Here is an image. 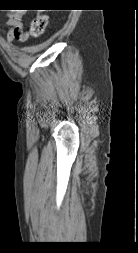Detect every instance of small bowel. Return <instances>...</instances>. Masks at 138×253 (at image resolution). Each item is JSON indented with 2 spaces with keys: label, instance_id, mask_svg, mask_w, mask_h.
<instances>
[{
  "label": "small bowel",
  "instance_id": "small-bowel-1",
  "mask_svg": "<svg viewBox=\"0 0 138 253\" xmlns=\"http://www.w3.org/2000/svg\"><path fill=\"white\" fill-rule=\"evenodd\" d=\"M23 13L14 11L8 16V30L6 37L9 43L13 41L25 42L29 38V33L23 28Z\"/></svg>",
  "mask_w": 138,
  "mask_h": 253
}]
</instances>
